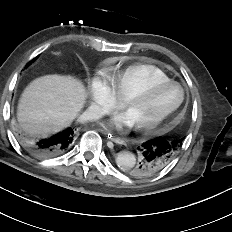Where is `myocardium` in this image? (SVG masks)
Wrapping results in <instances>:
<instances>
[{"label": "myocardium", "mask_w": 232, "mask_h": 232, "mask_svg": "<svg viewBox=\"0 0 232 232\" xmlns=\"http://www.w3.org/2000/svg\"><path fill=\"white\" fill-rule=\"evenodd\" d=\"M168 86H176L180 89L181 97H180L179 101L171 109L166 111L162 116H160L156 120L151 121V122H147L144 124L136 125L135 127L138 131L150 132V131L156 129L157 127H159L160 125H162L172 115H174L180 109V107L182 106V104L185 100L186 92H185L184 87L177 81L168 80V81L156 83L148 88H145L143 90L135 92V93L129 95L128 97H126L122 101V107L127 109L128 106L131 105L132 103L144 101L146 98L152 96L156 92H158L161 89L168 87Z\"/></svg>", "instance_id": "f54148a6"}]
</instances>
